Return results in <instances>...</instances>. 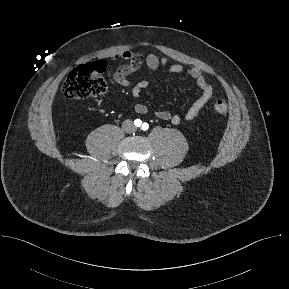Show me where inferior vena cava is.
<instances>
[{"mask_svg":"<svg viewBox=\"0 0 289 289\" xmlns=\"http://www.w3.org/2000/svg\"><path fill=\"white\" fill-rule=\"evenodd\" d=\"M122 128L125 132L130 133L135 131V126L132 120H125L122 123Z\"/></svg>","mask_w":289,"mask_h":289,"instance_id":"602c4592","label":"inferior vena cava"}]
</instances>
